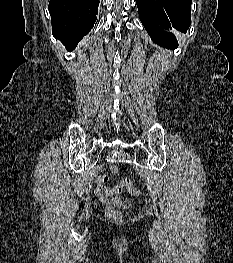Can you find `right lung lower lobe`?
Returning <instances> with one entry per match:
<instances>
[{
	"instance_id": "obj_1",
	"label": "right lung lower lobe",
	"mask_w": 233,
	"mask_h": 263,
	"mask_svg": "<svg viewBox=\"0 0 233 263\" xmlns=\"http://www.w3.org/2000/svg\"><path fill=\"white\" fill-rule=\"evenodd\" d=\"M99 0H50L52 34L68 51L93 28Z\"/></svg>"
}]
</instances>
